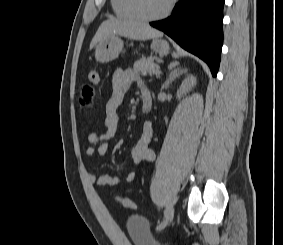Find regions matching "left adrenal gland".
Returning a JSON list of instances; mask_svg holds the SVG:
<instances>
[{"label":"left adrenal gland","instance_id":"obj_1","mask_svg":"<svg viewBox=\"0 0 283 245\" xmlns=\"http://www.w3.org/2000/svg\"><path fill=\"white\" fill-rule=\"evenodd\" d=\"M187 72V69H182L180 67H177L175 69H173L169 75V77L166 79V81L164 82V84L162 85V90L165 88H168L169 85L176 79L178 78L180 75L184 74Z\"/></svg>","mask_w":283,"mask_h":245}]
</instances>
